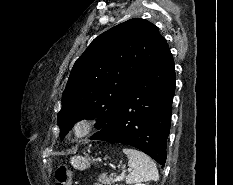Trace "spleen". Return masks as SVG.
Wrapping results in <instances>:
<instances>
[{"mask_svg":"<svg viewBox=\"0 0 233 185\" xmlns=\"http://www.w3.org/2000/svg\"><path fill=\"white\" fill-rule=\"evenodd\" d=\"M123 153L127 155L128 165L131 172L126 177L127 184L140 185V182L157 181L159 179L158 170L153 160L138 150L124 148Z\"/></svg>","mask_w":233,"mask_h":185,"instance_id":"3e777b00","label":"spleen"}]
</instances>
